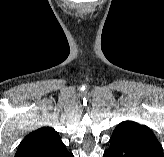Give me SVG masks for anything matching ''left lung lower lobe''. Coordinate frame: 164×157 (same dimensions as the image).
Listing matches in <instances>:
<instances>
[{
  "mask_svg": "<svg viewBox=\"0 0 164 157\" xmlns=\"http://www.w3.org/2000/svg\"><path fill=\"white\" fill-rule=\"evenodd\" d=\"M109 142L103 157H158L126 141L110 138Z\"/></svg>",
  "mask_w": 164,
  "mask_h": 157,
  "instance_id": "1",
  "label": "left lung lower lobe"
}]
</instances>
